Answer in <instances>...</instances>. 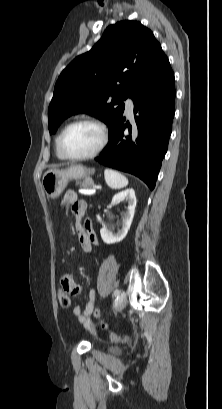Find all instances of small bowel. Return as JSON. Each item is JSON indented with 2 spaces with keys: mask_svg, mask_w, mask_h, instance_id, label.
<instances>
[{
  "mask_svg": "<svg viewBox=\"0 0 222 409\" xmlns=\"http://www.w3.org/2000/svg\"><path fill=\"white\" fill-rule=\"evenodd\" d=\"M61 207L64 209L70 208L72 210L75 216V228L79 242L86 252L93 253L95 251L94 248L97 245V239L89 220H83L87 209L86 202L79 200L75 192L67 191L63 197ZM61 284L62 286H70L68 291L70 297H77L80 295V283L75 281L71 274L64 275ZM96 300L95 291L90 290L84 309L80 306H75L73 309V314L85 327L91 326V316L96 309Z\"/></svg>",
  "mask_w": 222,
  "mask_h": 409,
  "instance_id": "1",
  "label": "small bowel"
}]
</instances>
